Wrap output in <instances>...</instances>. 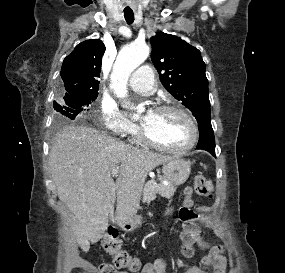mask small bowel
<instances>
[{"label":"small bowel","mask_w":285,"mask_h":273,"mask_svg":"<svg viewBox=\"0 0 285 273\" xmlns=\"http://www.w3.org/2000/svg\"><path fill=\"white\" fill-rule=\"evenodd\" d=\"M197 244L202 249H209V253L203 258L202 263L212 269V273H226L227 258L224 255V249L220 245L211 246L209 242L199 234ZM167 264L163 260H157L153 263L146 264L141 273H166ZM184 273H207L197 265H190Z\"/></svg>","instance_id":"small-bowel-1"}]
</instances>
